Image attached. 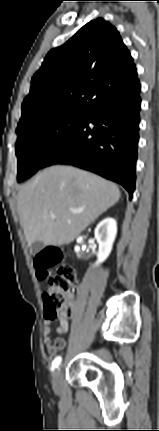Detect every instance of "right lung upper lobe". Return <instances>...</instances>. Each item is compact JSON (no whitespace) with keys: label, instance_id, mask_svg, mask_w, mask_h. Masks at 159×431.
I'll return each mask as SVG.
<instances>
[{"label":"right lung upper lobe","instance_id":"right-lung-upper-lobe-1","mask_svg":"<svg viewBox=\"0 0 159 431\" xmlns=\"http://www.w3.org/2000/svg\"><path fill=\"white\" fill-rule=\"evenodd\" d=\"M137 79L119 32L105 20L95 19L46 55L32 77L17 130L61 112L89 113Z\"/></svg>","mask_w":159,"mask_h":431}]
</instances>
